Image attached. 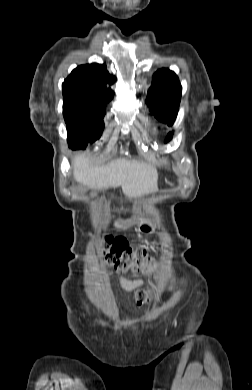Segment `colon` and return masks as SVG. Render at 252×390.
Segmentation results:
<instances>
[{
	"mask_svg": "<svg viewBox=\"0 0 252 390\" xmlns=\"http://www.w3.org/2000/svg\"><path fill=\"white\" fill-rule=\"evenodd\" d=\"M104 255L109 266L117 272H133L149 274L155 269L154 260L149 257L143 247L133 248L123 237H107L104 241ZM151 295L150 289L137 291V305L146 304Z\"/></svg>",
	"mask_w": 252,
	"mask_h": 390,
	"instance_id": "colon-1",
	"label": "colon"
}]
</instances>
